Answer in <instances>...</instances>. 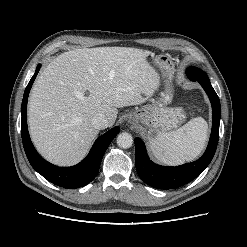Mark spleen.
Returning <instances> with one entry per match:
<instances>
[{
    "label": "spleen",
    "mask_w": 247,
    "mask_h": 247,
    "mask_svg": "<svg viewBox=\"0 0 247 247\" xmlns=\"http://www.w3.org/2000/svg\"><path fill=\"white\" fill-rule=\"evenodd\" d=\"M208 125L204 118L191 119L181 128L169 132H156L149 139L153 155L167 165H179L194 160L204 149Z\"/></svg>",
    "instance_id": "1"
}]
</instances>
